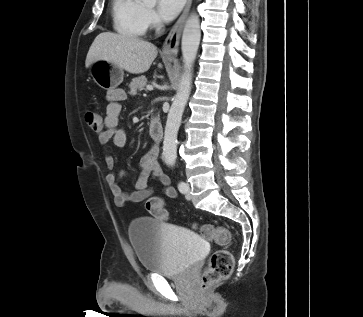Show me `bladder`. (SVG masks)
Wrapping results in <instances>:
<instances>
[{"label":"bladder","instance_id":"1","mask_svg":"<svg viewBox=\"0 0 363 317\" xmlns=\"http://www.w3.org/2000/svg\"><path fill=\"white\" fill-rule=\"evenodd\" d=\"M129 235L142 269L163 276L187 271L208 251L202 234L156 219L134 220Z\"/></svg>","mask_w":363,"mask_h":317}]
</instances>
